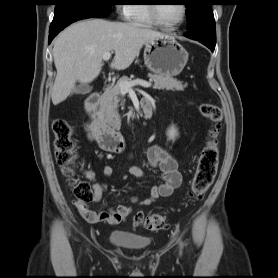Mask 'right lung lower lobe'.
Listing matches in <instances>:
<instances>
[{
  "label": "right lung lower lobe",
  "instance_id": "98d812e1",
  "mask_svg": "<svg viewBox=\"0 0 278 278\" xmlns=\"http://www.w3.org/2000/svg\"><path fill=\"white\" fill-rule=\"evenodd\" d=\"M93 16L90 15H81V14H77V15H72V16H68L66 18H63L61 21H59L56 24H51L50 26V30H49V43L53 40V38L61 31L63 30L65 27H67L68 25H70L71 23L81 20V19H86V18H91Z\"/></svg>",
  "mask_w": 278,
  "mask_h": 278
}]
</instances>
